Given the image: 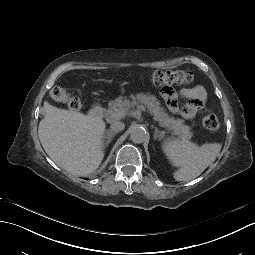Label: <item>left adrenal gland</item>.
<instances>
[{"label":"left adrenal gland","mask_w":255,"mask_h":255,"mask_svg":"<svg viewBox=\"0 0 255 255\" xmlns=\"http://www.w3.org/2000/svg\"><path fill=\"white\" fill-rule=\"evenodd\" d=\"M152 127L155 129V132H154V139H162L163 136H164V131H160L157 127L153 126Z\"/></svg>","instance_id":"1"}]
</instances>
